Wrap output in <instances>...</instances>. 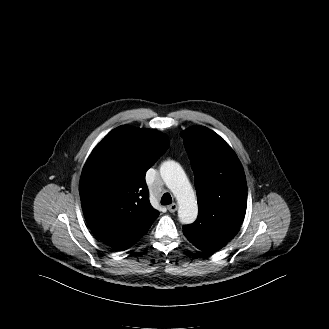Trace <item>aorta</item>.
I'll return each instance as SVG.
<instances>
[{"mask_svg":"<svg viewBox=\"0 0 329 329\" xmlns=\"http://www.w3.org/2000/svg\"><path fill=\"white\" fill-rule=\"evenodd\" d=\"M160 174L166 186L177 199L178 217L182 224H192L198 215V205L193 188L183 170L175 161H165Z\"/></svg>","mask_w":329,"mask_h":329,"instance_id":"aorta-1","label":"aorta"}]
</instances>
